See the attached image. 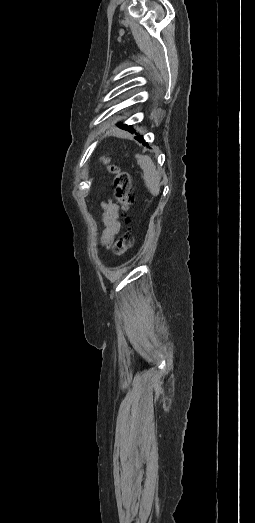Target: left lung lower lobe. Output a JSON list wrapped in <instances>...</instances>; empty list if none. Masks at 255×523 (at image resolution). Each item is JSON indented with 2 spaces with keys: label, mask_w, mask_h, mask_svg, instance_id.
Here are the masks:
<instances>
[{
  "label": "left lung lower lobe",
  "mask_w": 255,
  "mask_h": 523,
  "mask_svg": "<svg viewBox=\"0 0 255 523\" xmlns=\"http://www.w3.org/2000/svg\"><path fill=\"white\" fill-rule=\"evenodd\" d=\"M147 137H149V134H140V137H136V140H143L142 144L147 146L150 145V140H147Z\"/></svg>",
  "instance_id": "obj_1"
}]
</instances>
